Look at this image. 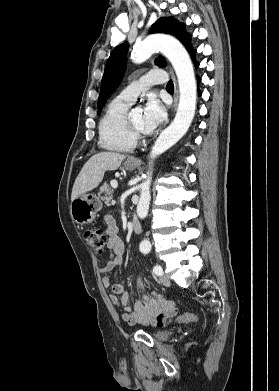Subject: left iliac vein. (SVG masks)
I'll return each mask as SVG.
<instances>
[{
	"instance_id": "4c4485c4",
	"label": "left iliac vein",
	"mask_w": 279,
	"mask_h": 391,
	"mask_svg": "<svg viewBox=\"0 0 279 391\" xmlns=\"http://www.w3.org/2000/svg\"><path fill=\"white\" fill-rule=\"evenodd\" d=\"M160 283H161L162 285H164V286H170V285H171V282H170L169 278L166 277V276H164V275H162V276L160 277Z\"/></svg>"
}]
</instances>
